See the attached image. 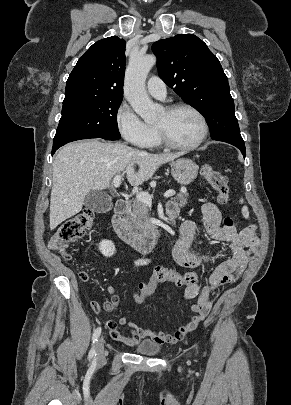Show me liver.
Returning a JSON list of instances; mask_svg holds the SVG:
<instances>
[{
  "mask_svg": "<svg viewBox=\"0 0 291 405\" xmlns=\"http://www.w3.org/2000/svg\"><path fill=\"white\" fill-rule=\"evenodd\" d=\"M180 154H149L121 143L96 139L65 145L53 162L50 229L82 210L86 195L110 186L115 175L126 174L131 185L150 179L159 166ZM138 166V170L135 168Z\"/></svg>",
  "mask_w": 291,
  "mask_h": 405,
  "instance_id": "obj_1",
  "label": "liver"
}]
</instances>
